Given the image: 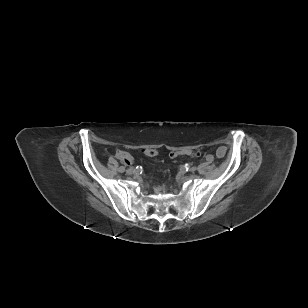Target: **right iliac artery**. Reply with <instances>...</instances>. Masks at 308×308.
Instances as JSON below:
<instances>
[{
	"label": "right iliac artery",
	"mask_w": 308,
	"mask_h": 308,
	"mask_svg": "<svg viewBox=\"0 0 308 308\" xmlns=\"http://www.w3.org/2000/svg\"><path fill=\"white\" fill-rule=\"evenodd\" d=\"M118 171L121 172V173H123V172L125 171V167L120 166V167L118 168Z\"/></svg>",
	"instance_id": "82829eb1"
}]
</instances>
